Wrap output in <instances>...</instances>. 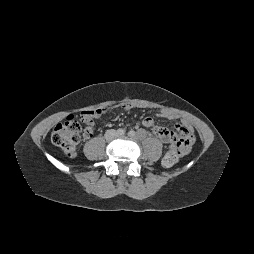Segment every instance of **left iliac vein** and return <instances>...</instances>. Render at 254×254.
<instances>
[{"label":"left iliac vein","mask_w":254,"mask_h":254,"mask_svg":"<svg viewBox=\"0 0 254 254\" xmlns=\"http://www.w3.org/2000/svg\"><path fill=\"white\" fill-rule=\"evenodd\" d=\"M124 135H117V137H123Z\"/></svg>","instance_id":"4c4485c4"}]
</instances>
